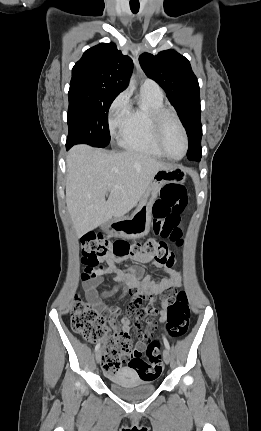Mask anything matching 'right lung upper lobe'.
<instances>
[{
	"label": "right lung upper lobe",
	"instance_id": "right-lung-upper-lobe-1",
	"mask_svg": "<svg viewBox=\"0 0 261 431\" xmlns=\"http://www.w3.org/2000/svg\"><path fill=\"white\" fill-rule=\"evenodd\" d=\"M132 70L131 58L114 43H101L86 50L74 65L71 83H89L120 93L128 86Z\"/></svg>",
	"mask_w": 261,
	"mask_h": 431
}]
</instances>
